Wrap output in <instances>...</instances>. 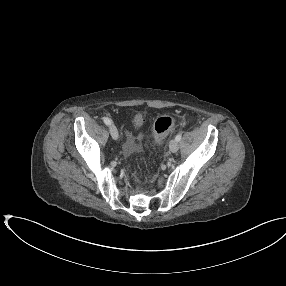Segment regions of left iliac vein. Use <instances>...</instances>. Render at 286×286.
Listing matches in <instances>:
<instances>
[{"mask_svg": "<svg viewBox=\"0 0 286 286\" xmlns=\"http://www.w3.org/2000/svg\"><path fill=\"white\" fill-rule=\"evenodd\" d=\"M169 148H170V151L173 152V153L178 151L179 145H178V142L176 141V139H172L170 141Z\"/></svg>", "mask_w": 286, "mask_h": 286, "instance_id": "obj_1", "label": "left iliac vein"}]
</instances>
